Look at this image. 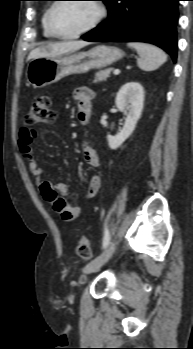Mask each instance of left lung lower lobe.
Instances as JSON below:
<instances>
[{
  "label": "left lung lower lobe",
  "mask_w": 193,
  "mask_h": 349,
  "mask_svg": "<svg viewBox=\"0 0 193 349\" xmlns=\"http://www.w3.org/2000/svg\"><path fill=\"white\" fill-rule=\"evenodd\" d=\"M180 0H109L108 19L83 35L85 41H141L157 45L176 61Z\"/></svg>",
  "instance_id": "1"
}]
</instances>
